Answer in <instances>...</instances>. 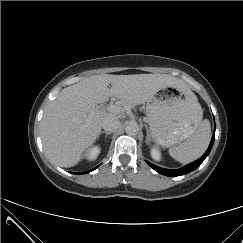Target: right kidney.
<instances>
[{"label": "right kidney", "instance_id": "1", "mask_svg": "<svg viewBox=\"0 0 243 243\" xmlns=\"http://www.w3.org/2000/svg\"><path fill=\"white\" fill-rule=\"evenodd\" d=\"M99 153H100V148L98 146H94L87 151L86 157L88 160L93 161L98 157Z\"/></svg>", "mask_w": 243, "mask_h": 243}]
</instances>
